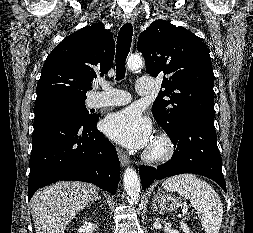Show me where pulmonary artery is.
<instances>
[{
	"label": "pulmonary artery",
	"instance_id": "e3ab8cb5",
	"mask_svg": "<svg viewBox=\"0 0 253 233\" xmlns=\"http://www.w3.org/2000/svg\"><path fill=\"white\" fill-rule=\"evenodd\" d=\"M103 91L97 93L92 100L93 107L122 106L131 101V95L124 91L102 84ZM153 90V81L147 77H140L137 81L136 91L140 95H148Z\"/></svg>",
	"mask_w": 253,
	"mask_h": 233
}]
</instances>
